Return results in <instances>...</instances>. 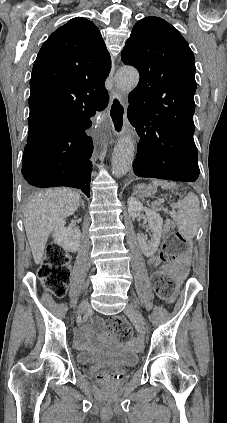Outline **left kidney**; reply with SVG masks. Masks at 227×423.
I'll return each mask as SVG.
<instances>
[{
  "instance_id": "5707ae66",
  "label": "left kidney",
  "mask_w": 227,
  "mask_h": 423,
  "mask_svg": "<svg viewBox=\"0 0 227 423\" xmlns=\"http://www.w3.org/2000/svg\"><path fill=\"white\" fill-rule=\"evenodd\" d=\"M127 204L128 213L132 215V217H137V215H140L141 211H145L148 217V223L153 231L151 239H147V235H144V233H137V239L144 255H146V257H151V255H154L156 249H158V245L161 241L163 219L157 211L147 210V208H144L142 202H139L136 198H132V196L128 198Z\"/></svg>"
}]
</instances>
